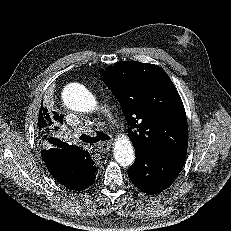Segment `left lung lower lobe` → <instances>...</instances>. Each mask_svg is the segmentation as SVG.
Listing matches in <instances>:
<instances>
[{
  "label": "left lung lower lobe",
  "instance_id": "1",
  "mask_svg": "<svg viewBox=\"0 0 231 231\" xmlns=\"http://www.w3.org/2000/svg\"><path fill=\"white\" fill-rule=\"evenodd\" d=\"M135 152V162L128 170L129 178L150 195L168 188L185 163V158H166L148 149H135Z\"/></svg>",
  "mask_w": 231,
  "mask_h": 231
}]
</instances>
